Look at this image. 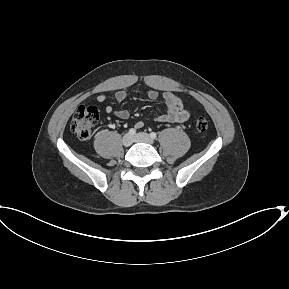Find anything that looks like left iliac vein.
I'll list each match as a JSON object with an SVG mask.
<instances>
[{
	"label": "left iliac vein",
	"mask_w": 289,
	"mask_h": 289,
	"mask_svg": "<svg viewBox=\"0 0 289 289\" xmlns=\"http://www.w3.org/2000/svg\"><path fill=\"white\" fill-rule=\"evenodd\" d=\"M134 141L135 142H144L147 144H154V140L147 133H144V132L137 133L134 136Z\"/></svg>",
	"instance_id": "left-iliac-vein-1"
}]
</instances>
